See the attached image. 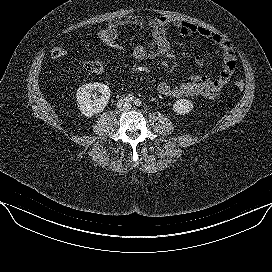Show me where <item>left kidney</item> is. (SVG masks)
<instances>
[{
	"label": "left kidney",
	"mask_w": 272,
	"mask_h": 272,
	"mask_svg": "<svg viewBox=\"0 0 272 272\" xmlns=\"http://www.w3.org/2000/svg\"><path fill=\"white\" fill-rule=\"evenodd\" d=\"M193 108L191 101L187 99H179L175 102L173 109L177 114L184 115L189 113Z\"/></svg>",
	"instance_id": "left-kidney-1"
}]
</instances>
